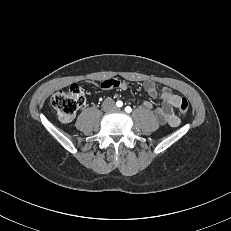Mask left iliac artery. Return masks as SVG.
I'll return each mask as SVG.
<instances>
[{
	"label": "left iliac artery",
	"instance_id": "44dca946",
	"mask_svg": "<svg viewBox=\"0 0 231 231\" xmlns=\"http://www.w3.org/2000/svg\"><path fill=\"white\" fill-rule=\"evenodd\" d=\"M125 111H126L127 113H130V112L132 111V109H131V107L127 106V107L125 108Z\"/></svg>",
	"mask_w": 231,
	"mask_h": 231
}]
</instances>
